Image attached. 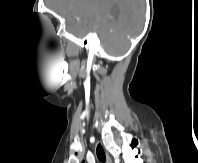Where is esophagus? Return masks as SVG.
<instances>
[{
    "instance_id": "34e87169",
    "label": "esophagus",
    "mask_w": 198,
    "mask_h": 163,
    "mask_svg": "<svg viewBox=\"0 0 198 163\" xmlns=\"http://www.w3.org/2000/svg\"><path fill=\"white\" fill-rule=\"evenodd\" d=\"M106 163H112V159L107 151H106Z\"/></svg>"
}]
</instances>
